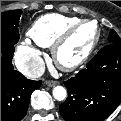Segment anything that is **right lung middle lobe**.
Wrapping results in <instances>:
<instances>
[{
  "label": "right lung middle lobe",
  "mask_w": 121,
  "mask_h": 121,
  "mask_svg": "<svg viewBox=\"0 0 121 121\" xmlns=\"http://www.w3.org/2000/svg\"><path fill=\"white\" fill-rule=\"evenodd\" d=\"M21 10L1 13V43L16 44L20 38L18 26Z\"/></svg>",
  "instance_id": "dd1d6c3e"
}]
</instances>
